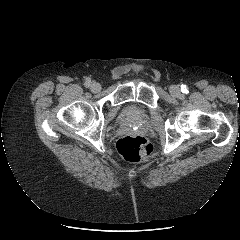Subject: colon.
<instances>
[{"label":"colon","instance_id":"colon-1","mask_svg":"<svg viewBox=\"0 0 240 240\" xmlns=\"http://www.w3.org/2000/svg\"><path fill=\"white\" fill-rule=\"evenodd\" d=\"M119 154L126 160L137 162L149 158L153 146L145 138L137 135L121 137L116 143Z\"/></svg>","mask_w":240,"mask_h":240}]
</instances>
